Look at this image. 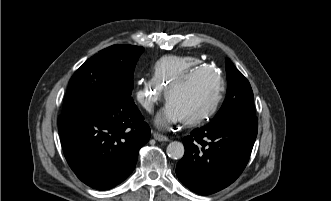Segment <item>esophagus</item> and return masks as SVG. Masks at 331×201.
I'll use <instances>...</instances> for the list:
<instances>
[{
  "mask_svg": "<svg viewBox=\"0 0 331 201\" xmlns=\"http://www.w3.org/2000/svg\"><path fill=\"white\" fill-rule=\"evenodd\" d=\"M153 137L157 141H168V137H166L165 135H162V134H160L158 132H154L153 133Z\"/></svg>",
  "mask_w": 331,
  "mask_h": 201,
  "instance_id": "34e87169",
  "label": "esophagus"
}]
</instances>
